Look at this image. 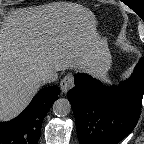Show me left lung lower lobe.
<instances>
[{"label": "left lung lower lobe", "instance_id": "obj_1", "mask_svg": "<svg viewBox=\"0 0 144 144\" xmlns=\"http://www.w3.org/2000/svg\"><path fill=\"white\" fill-rule=\"evenodd\" d=\"M67 97L80 144H117L136 126L144 94V57L129 80L109 88L86 74H76Z\"/></svg>", "mask_w": 144, "mask_h": 144}]
</instances>
